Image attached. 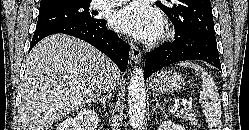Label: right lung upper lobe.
Segmentation results:
<instances>
[{
  "label": "right lung upper lobe",
  "instance_id": "obj_1",
  "mask_svg": "<svg viewBox=\"0 0 249 130\" xmlns=\"http://www.w3.org/2000/svg\"><path fill=\"white\" fill-rule=\"evenodd\" d=\"M82 1L91 0H41L40 8L68 6Z\"/></svg>",
  "mask_w": 249,
  "mask_h": 130
}]
</instances>
